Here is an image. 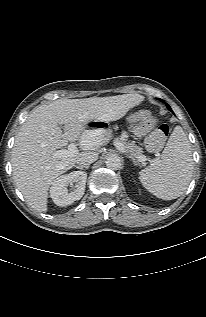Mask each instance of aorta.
I'll return each instance as SVG.
<instances>
[{
  "label": "aorta",
  "mask_w": 206,
  "mask_h": 317,
  "mask_svg": "<svg viewBox=\"0 0 206 317\" xmlns=\"http://www.w3.org/2000/svg\"><path fill=\"white\" fill-rule=\"evenodd\" d=\"M105 163L107 168L117 170L121 166V159L118 155L112 154L106 158Z\"/></svg>",
  "instance_id": "aorta-1"
}]
</instances>
